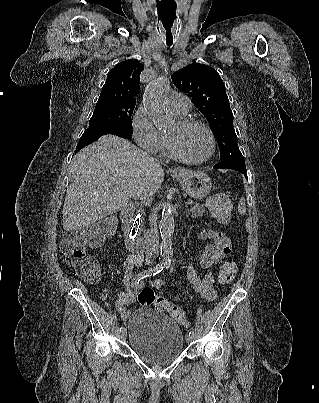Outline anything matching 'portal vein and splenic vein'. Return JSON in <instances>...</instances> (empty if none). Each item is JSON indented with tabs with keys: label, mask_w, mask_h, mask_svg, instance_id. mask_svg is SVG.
I'll return each mask as SVG.
<instances>
[{
	"label": "portal vein and splenic vein",
	"mask_w": 319,
	"mask_h": 403,
	"mask_svg": "<svg viewBox=\"0 0 319 403\" xmlns=\"http://www.w3.org/2000/svg\"><path fill=\"white\" fill-rule=\"evenodd\" d=\"M133 196H135V195H133ZM193 203L191 202V201H186L185 202V205H192Z\"/></svg>",
	"instance_id": "1"
}]
</instances>
